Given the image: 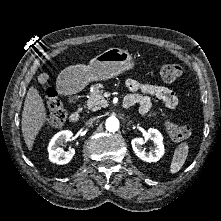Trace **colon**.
I'll return each mask as SVG.
<instances>
[{"label": "colon", "mask_w": 221, "mask_h": 221, "mask_svg": "<svg viewBox=\"0 0 221 221\" xmlns=\"http://www.w3.org/2000/svg\"><path fill=\"white\" fill-rule=\"evenodd\" d=\"M181 74V66L175 63L165 64L160 68L161 78L166 82L176 81L179 79ZM44 99L49 112L47 124L51 128H59L66 121L67 110L63 106L57 92L53 88L46 90ZM165 129L169 137L174 141L185 140L191 134V129L189 126L178 125L171 121L165 122Z\"/></svg>", "instance_id": "colon-1"}]
</instances>
